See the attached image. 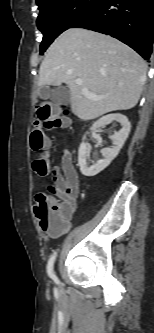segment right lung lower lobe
<instances>
[{"mask_svg":"<svg viewBox=\"0 0 154 333\" xmlns=\"http://www.w3.org/2000/svg\"><path fill=\"white\" fill-rule=\"evenodd\" d=\"M71 28L115 37L148 60L154 40V0H101Z\"/></svg>","mask_w":154,"mask_h":333,"instance_id":"obj_1","label":"right lung lower lobe"}]
</instances>
